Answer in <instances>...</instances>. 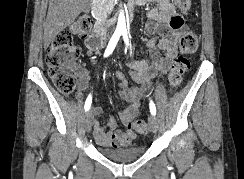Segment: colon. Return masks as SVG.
I'll list each match as a JSON object with an SVG mask.
<instances>
[{"instance_id": "5ec220e1", "label": "colon", "mask_w": 244, "mask_h": 179, "mask_svg": "<svg viewBox=\"0 0 244 179\" xmlns=\"http://www.w3.org/2000/svg\"><path fill=\"white\" fill-rule=\"evenodd\" d=\"M176 8L182 12H188L191 8L189 0H175ZM91 29V21L81 18L61 31L48 48L46 62L48 74L56 88L64 94H70L75 90L76 78L73 74L75 62L81 54L79 45L72 43V34H88ZM200 37L194 31H186L180 38V49L188 55L198 50ZM189 61L185 56H180L174 62L168 75V88L171 91L179 88L188 69ZM132 128L139 133L147 132V125L142 120L132 122Z\"/></svg>"}]
</instances>
